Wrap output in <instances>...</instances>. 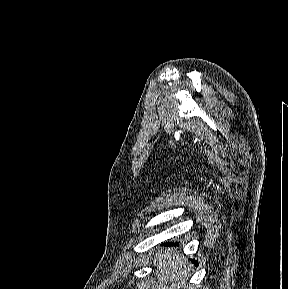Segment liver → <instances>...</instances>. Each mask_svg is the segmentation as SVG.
I'll use <instances>...</instances> for the list:
<instances>
[{
    "label": "liver",
    "mask_w": 288,
    "mask_h": 289,
    "mask_svg": "<svg viewBox=\"0 0 288 289\" xmlns=\"http://www.w3.org/2000/svg\"><path fill=\"white\" fill-rule=\"evenodd\" d=\"M155 274L161 284L175 286L185 280L190 274L186 258L176 249H167L154 257Z\"/></svg>",
    "instance_id": "obj_1"
}]
</instances>
